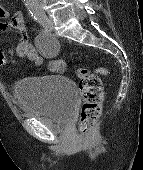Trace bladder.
I'll return each instance as SVG.
<instances>
[{
  "instance_id": "obj_1",
  "label": "bladder",
  "mask_w": 143,
  "mask_h": 170,
  "mask_svg": "<svg viewBox=\"0 0 143 170\" xmlns=\"http://www.w3.org/2000/svg\"><path fill=\"white\" fill-rule=\"evenodd\" d=\"M22 111L52 123H64L74 114L78 94L74 83L61 75L27 77L13 85Z\"/></svg>"
}]
</instances>
